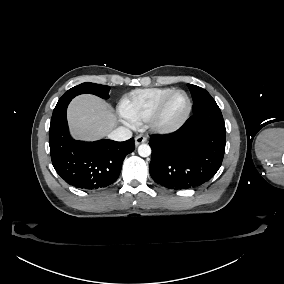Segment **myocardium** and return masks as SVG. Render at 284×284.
Segmentation results:
<instances>
[{
  "label": "myocardium",
  "mask_w": 284,
  "mask_h": 284,
  "mask_svg": "<svg viewBox=\"0 0 284 284\" xmlns=\"http://www.w3.org/2000/svg\"><path fill=\"white\" fill-rule=\"evenodd\" d=\"M177 92H184L187 96L188 106H187L186 113L183 116V118L177 124H175L171 127H161V126L158 125L157 120L160 117V115L162 114V112L165 108V105H166L167 101L169 100V98ZM192 109H193V102H192V99H191L189 93L184 89H179V88L173 89L172 91H170L169 93L164 95L159 100L157 105L154 107V109L148 115V117L145 120L146 127L148 128V130L151 133H153L155 135H161V136L172 135V134L178 132L186 124V122L188 121V119L191 115Z\"/></svg>",
  "instance_id": "myocardium-1"
}]
</instances>
